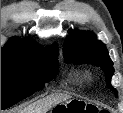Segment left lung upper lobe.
Returning a JSON list of instances; mask_svg holds the SVG:
<instances>
[{
  "label": "left lung upper lobe",
  "instance_id": "5c2ea615",
  "mask_svg": "<svg viewBox=\"0 0 123 113\" xmlns=\"http://www.w3.org/2000/svg\"><path fill=\"white\" fill-rule=\"evenodd\" d=\"M64 58L66 63L100 66L105 73L107 85L114 91L110 84L114 73L113 63L105 45L97 41L92 32H72L65 42ZM115 93L117 94L116 91Z\"/></svg>",
  "mask_w": 123,
  "mask_h": 113
}]
</instances>
